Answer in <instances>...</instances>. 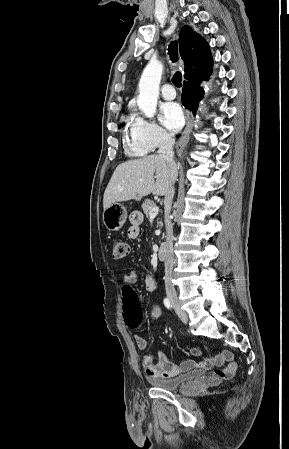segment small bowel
I'll use <instances>...</instances> for the list:
<instances>
[{
    "label": "small bowel",
    "mask_w": 289,
    "mask_h": 449,
    "mask_svg": "<svg viewBox=\"0 0 289 449\" xmlns=\"http://www.w3.org/2000/svg\"><path fill=\"white\" fill-rule=\"evenodd\" d=\"M131 225L127 230V235L130 239H136L140 233V224L142 217L139 214H132L130 217ZM137 281V273L130 269L123 278L124 290L131 289ZM145 287L147 291L153 292L157 289V281L153 275H147L145 278ZM161 315L159 306H153L151 310V319L157 320ZM134 341L140 350H145L148 346L147 341L139 336L134 335ZM190 352L194 356H200L201 351L198 348H192ZM142 366L146 374L150 377H175L183 372H186L193 368H200L205 370L218 367L215 371V375L221 379L232 378L238 368V364L234 359V355L231 351L225 350L220 354L213 357L204 358L202 360H186L181 364H175L174 361L163 351H158V358L152 354H144L141 360Z\"/></svg>",
    "instance_id": "obj_1"
}]
</instances>
